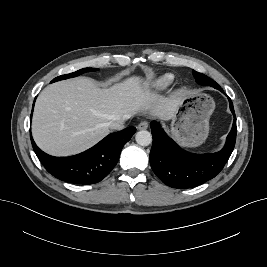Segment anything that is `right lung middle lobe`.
<instances>
[{
	"label": "right lung middle lobe",
	"mask_w": 267,
	"mask_h": 267,
	"mask_svg": "<svg viewBox=\"0 0 267 267\" xmlns=\"http://www.w3.org/2000/svg\"><path fill=\"white\" fill-rule=\"evenodd\" d=\"M97 69L96 68H83V69H80L76 72H73V73H70V74H66V75H61L59 77H56L55 79H53L51 81V83L53 82H56V81H59V80H63V79H68V78H72V77H76V76H79L85 72H90V71H96Z\"/></svg>",
	"instance_id": "dd1d6c3e"
}]
</instances>
